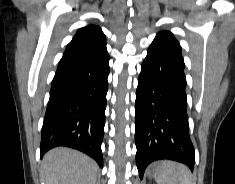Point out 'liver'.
<instances>
[{
  "label": "liver",
  "mask_w": 235,
  "mask_h": 184,
  "mask_svg": "<svg viewBox=\"0 0 235 184\" xmlns=\"http://www.w3.org/2000/svg\"><path fill=\"white\" fill-rule=\"evenodd\" d=\"M98 166L92 158L70 148H54L45 154L40 180L44 184H95Z\"/></svg>",
  "instance_id": "1"
}]
</instances>
